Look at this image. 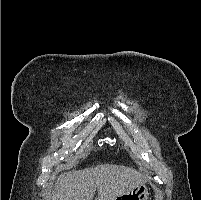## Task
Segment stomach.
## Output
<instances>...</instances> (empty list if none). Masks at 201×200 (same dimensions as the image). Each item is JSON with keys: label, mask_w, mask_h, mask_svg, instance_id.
<instances>
[{"label": "stomach", "mask_w": 201, "mask_h": 200, "mask_svg": "<svg viewBox=\"0 0 201 200\" xmlns=\"http://www.w3.org/2000/svg\"><path fill=\"white\" fill-rule=\"evenodd\" d=\"M148 188L145 184H141L126 192L123 195L116 197L114 200H148Z\"/></svg>", "instance_id": "stomach-1"}]
</instances>
